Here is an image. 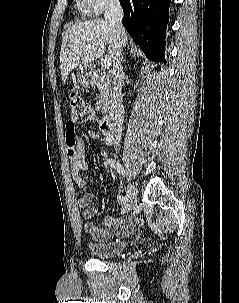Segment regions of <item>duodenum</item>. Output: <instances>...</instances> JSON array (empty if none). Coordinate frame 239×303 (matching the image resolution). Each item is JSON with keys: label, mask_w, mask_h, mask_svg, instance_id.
<instances>
[{"label": "duodenum", "mask_w": 239, "mask_h": 303, "mask_svg": "<svg viewBox=\"0 0 239 303\" xmlns=\"http://www.w3.org/2000/svg\"><path fill=\"white\" fill-rule=\"evenodd\" d=\"M102 132L113 137L116 133V118L113 114L108 113L99 122Z\"/></svg>", "instance_id": "1"}]
</instances>
